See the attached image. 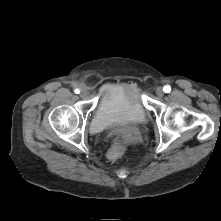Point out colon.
I'll use <instances>...</instances> for the list:
<instances>
[{
  "instance_id": "colon-1",
  "label": "colon",
  "mask_w": 221,
  "mask_h": 221,
  "mask_svg": "<svg viewBox=\"0 0 221 221\" xmlns=\"http://www.w3.org/2000/svg\"><path fill=\"white\" fill-rule=\"evenodd\" d=\"M124 150H125L124 143L121 140H116L112 144V146L108 152L109 159H111V160L118 159L123 154Z\"/></svg>"
}]
</instances>
